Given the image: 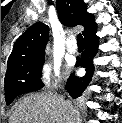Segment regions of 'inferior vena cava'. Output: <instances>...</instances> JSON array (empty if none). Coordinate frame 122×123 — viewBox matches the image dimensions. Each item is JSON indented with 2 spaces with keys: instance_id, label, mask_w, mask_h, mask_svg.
<instances>
[{
  "instance_id": "602c4592",
  "label": "inferior vena cava",
  "mask_w": 122,
  "mask_h": 123,
  "mask_svg": "<svg viewBox=\"0 0 122 123\" xmlns=\"http://www.w3.org/2000/svg\"><path fill=\"white\" fill-rule=\"evenodd\" d=\"M67 105L71 107V102L69 100L67 101Z\"/></svg>"
}]
</instances>
